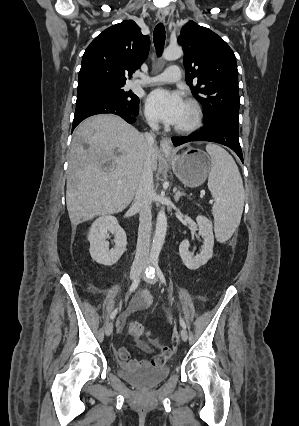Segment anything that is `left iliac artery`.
Masks as SVG:
<instances>
[{
	"label": "left iliac artery",
	"mask_w": 299,
	"mask_h": 426,
	"mask_svg": "<svg viewBox=\"0 0 299 426\" xmlns=\"http://www.w3.org/2000/svg\"><path fill=\"white\" fill-rule=\"evenodd\" d=\"M153 265H154V268H155V269H153V272L155 270L156 273H157L158 278L160 279V281L165 284L166 283V279H165V276H164L163 272L161 271V269H160V267L158 265V262L157 261L153 262ZM151 274H152L151 270L150 271L146 270V276L147 277H151ZM179 321H180V325L184 329H186L185 321L181 317L179 318Z\"/></svg>",
	"instance_id": "left-iliac-artery-1"
}]
</instances>
